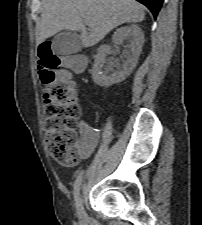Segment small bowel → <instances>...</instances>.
I'll list each match as a JSON object with an SVG mask.
<instances>
[{
	"mask_svg": "<svg viewBox=\"0 0 202 225\" xmlns=\"http://www.w3.org/2000/svg\"><path fill=\"white\" fill-rule=\"evenodd\" d=\"M87 60H82L81 68H85ZM83 133L78 142V153L81 159H88L92 153L102 144L101 136L94 131L92 126L87 121H82L80 124Z\"/></svg>",
	"mask_w": 202,
	"mask_h": 225,
	"instance_id": "c3829d8e",
	"label": "small bowel"
}]
</instances>
